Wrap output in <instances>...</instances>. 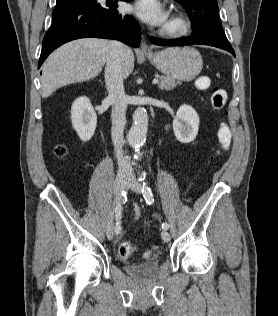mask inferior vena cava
I'll return each mask as SVG.
<instances>
[{
    "label": "inferior vena cava",
    "instance_id": "obj_1",
    "mask_svg": "<svg viewBox=\"0 0 278 316\" xmlns=\"http://www.w3.org/2000/svg\"><path fill=\"white\" fill-rule=\"evenodd\" d=\"M127 47L118 41H112L105 66V82L108 99L112 102L111 137L115 147L118 162V171L129 172L131 167L123 156V131L126 124L127 99L123 87L122 63Z\"/></svg>",
    "mask_w": 278,
    "mask_h": 316
}]
</instances>
